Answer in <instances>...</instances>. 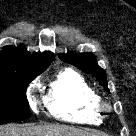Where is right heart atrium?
<instances>
[{
	"mask_svg": "<svg viewBox=\"0 0 136 136\" xmlns=\"http://www.w3.org/2000/svg\"><path fill=\"white\" fill-rule=\"evenodd\" d=\"M30 101H31L32 108L36 109V103H35L34 99L30 98Z\"/></svg>",
	"mask_w": 136,
	"mask_h": 136,
	"instance_id": "right-heart-atrium-1",
	"label": "right heart atrium"
}]
</instances>
